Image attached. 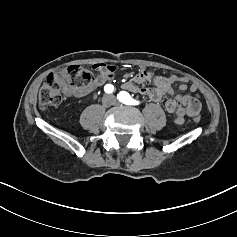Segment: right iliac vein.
<instances>
[{
	"label": "right iliac vein",
	"mask_w": 237,
	"mask_h": 237,
	"mask_svg": "<svg viewBox=\"0 0 237 237\" xmlns=\"http://www.w3.org/2000/svg\"><path fill=\"white\" fill-rule=\"evenodd\" d=\"M113 102H114V98L111 95H106L102 99L103 105L107 107L111 106Z\"/></svg>",
	"instance_id": "1"
}]
</instances>
